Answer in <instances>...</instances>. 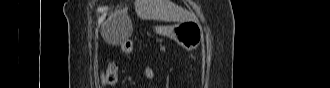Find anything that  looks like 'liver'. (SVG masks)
I'll list each match as a JSON object with an SVG mask.
<instances>
[{
  "mask_svg": "<svg viewBox=\"0 0 330 88\" xmlns=\"http://www.w3.org/2000/svg\"><path fill=\"white\" fill-rule=\"evenodd\" d=\"M135 11L137 13V16L141 19H154L177 22L195 20V16L193 14L182 9L181 7H178L170 0H136ZM112 18L113 17H110L103 25L102 37L108 42H115L118 44V39L113 40L109 38V32H113L116 28H114L112 25ZM128 22L131 24L130 21Z\"/></svg>",
  "mask_w": 330,
  "mask_h": 88,
  "instance_id": "1",
  "label": "liver"
}]
</instances>
